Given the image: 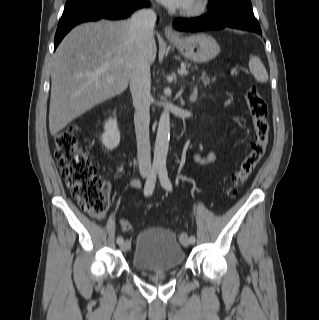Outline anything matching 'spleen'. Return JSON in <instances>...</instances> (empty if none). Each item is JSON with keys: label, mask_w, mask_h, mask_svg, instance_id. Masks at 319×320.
<instances>
[{"label": "spleen", "mask_w": 319, "mask_h": 320, "mask_svg": "<svg viewBox=\"0 0 319 320\" xmlns=\"http://www.w3.org/2000/svg\"><path fill=\"white\" fill-rule=\"evenodd\" d=\"M249 69L258 82L265 83L268 81V73L259 57L250 55Z\"/></svg>", "instance_id": "1"}]
</instances>
